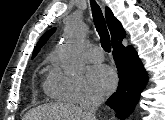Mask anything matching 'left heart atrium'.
Segmentation results:
<instances>
[{
    "label": "left heart atrium",
    "instance_id": "1",
    "mask_svg": "<svg viewBox=\"0 0 165 120\" xmlns=\"http://www.w3.org/2000/svg\"><path fill=\"white\" fill-rule=\"evenodd\" d=\"M89 79L92 86L100 93L108 94L117 85L115 71L107 65H96L89 70Z\"/></svg>",
    "mask_w": 165,
    "mask_h": 120
}]
</instances>
